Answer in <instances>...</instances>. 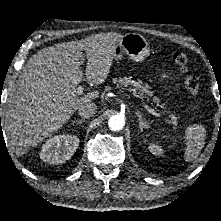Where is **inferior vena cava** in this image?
Masks as SVG:
<instances>
[{"label": "inferior vena cava", "instance_id": "obj_1", "mask_svg": "<svg viewBox=\"0 0 221 221\" xmlns=\"http://www.w3.org/2000/svg\"><path fill=\"white\" fill-rule=\"evenodd\" d=\"M96 111L97 106L92 102L85 103L78 108L79 115L86 119L94 116Z\"/></svg>", "mask_w": 221, "mask_h": 221}]
</instances>
